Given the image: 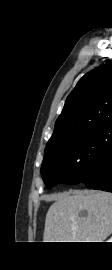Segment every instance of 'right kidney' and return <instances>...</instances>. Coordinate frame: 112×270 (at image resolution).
I'll list each match as a JSON object with an SVG mask.
<instances>
[{"label":"right kidney","mask_w":112,"mask_h":270,"mask_svg":"<svg viewBox=\"0 0 112 270\" xmlns=\"http://www.w3.org/2000/svg\"><path fill=\"white\" fill-rule=\"evenodd\" d=\"M107 242H112V237L109 240H107Z\"/></svg>","instance_id":"1"}]
</instances>
